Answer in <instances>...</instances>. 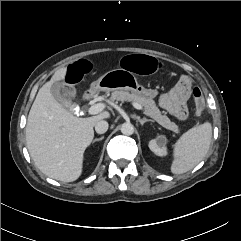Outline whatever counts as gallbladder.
I'll return each mask as SVG.
<instances>
[{"label":"gallbladder","instance_id":"obj_1","mask_svg":"<svg viewBox=\"0 0 241 241\" xmlns=\"http://www.w3.org/2000/svg\"><path fill=\"white\" fill-rule=\"evenodd\" d=\"M50 92L53 98L62 106L66 108L73 107L71 96L75 94L74 88H66L64 84L56 82L51 86Z\"/></svg>","mask_w":241,"mask_h":241}]
</instances>
